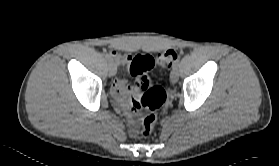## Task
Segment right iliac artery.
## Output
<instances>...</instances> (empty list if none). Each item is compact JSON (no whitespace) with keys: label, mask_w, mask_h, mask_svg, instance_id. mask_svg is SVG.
Masks as SVG:
<instances>
[{"label":"right iliac artery","mask_w":279,"mask_h":166,"mask_svg":"<svg viewBox=\"0 0 279 166\" xmlns=\"http://www.w3.org/2000/svg\"><path fill=\"white\" fill-rule=\"evenodd\" d=\"M105 58L108 62H113V59L109 54H105Z\"/></svg>","instance_id":"1"}]
</instances>
